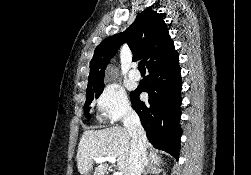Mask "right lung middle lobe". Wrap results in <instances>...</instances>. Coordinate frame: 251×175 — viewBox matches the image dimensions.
I'll return each mask as SVG.
<instances>
[{"mask_svg": "<svg viewBox=\"0 0 251 175\" xmlns=\"http://www.w3.org/2000/svg\"><path fill=\"white\" fill-rule=\"evenodd\" d=\"M103 89H104V86L87 88V90H86V103H85V106H84V110H85V114H86L87 118L90 117V115H89V110H90L89 105L91 104V102H92V100L94 98L97 99L99 97V95L102 93Z\"/></svg>", "mask_w": 251, "mask_h": 175, "instance_id": "dd1d6c3e", "label": "right lung middle lobe"}]
</instances>
